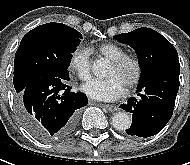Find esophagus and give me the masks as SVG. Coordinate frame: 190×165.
<instances>
[{"mask_svg": "<svg viewBox=\"0 0 190 165\" xmlns=\"http://www.w3.org/2000/svg\"><path fill=\"white\" fill-rule=\"evenodd\" d=\"M101 107H104L106 108L107 110L111 111V112H114V111H117L118 108L114 105H110V104H99Z\"/></svg>", "mask_w": 190, "mask_h": 165, "instance_id": "1", "label": "esophagus"}]
</instances>
